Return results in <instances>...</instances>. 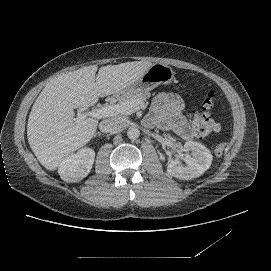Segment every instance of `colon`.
<instances>
[{"mask_svg": "<svg viewBox=\"0 0 271 271\" xmlns=\"http://www.w3.org/2000/svg\"><path fill=\"white\" fill-rule=\"evenodd\" d=\"M214 95L208 92L200 104L198 110L192 113V125L194 132L198 137H205L220 130V125L212 119L210 110L213 106ZM226 149L225 143H220L215 147V154L221 156Z\"/></svg>", "mask_w": 271, "mask_h": 271, "instance_id": "5ec220e1", "label": "colon"}]
</instances>
